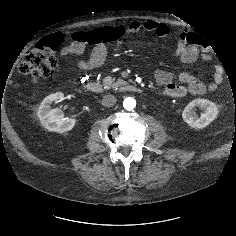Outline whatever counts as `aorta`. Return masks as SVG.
<instances>
[{
  "instance_id": "1",
  "label": "aorta",
  "mask_w": 236,
  "mask_h": 236,
  "mask_svg": "<svg viewBox=\"0 0 236 236\" xmlns=\"http://www.w3.org/2000/svg\"><path fill=\"white\" fill-rule=\"evenodd\" d=\"M123 107L125 110L131 111L136 107V100L132 97H127L123 101Z\"/></svg>"
}]
</instances>
